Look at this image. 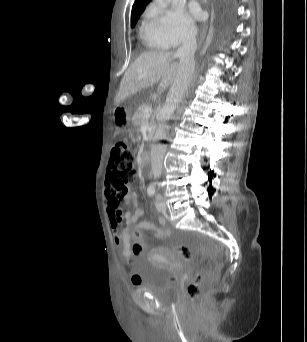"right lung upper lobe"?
I'll return each instance as SVG.
<instances>
[{
	"mask_svg": "<svg viewBox=\"0 0 307 342\" xmlns=\"http://www.w3.org/2000/svg\"><path fill=\"white\" fill-rule=\"evenodd\" d=\"M150 0H135V3L132 7V15H131V27H134L141 13L143 12L146 4ZM227 0H219L216 2L214 17H213V27L221 25L226 14V10L228 7Z\"/></svg>",
	"mask_w": 307,
	"mask_h": 342,
	"instance_id": "obj_1",
	"label": "right lung upper lobe"
}]
</instances>
